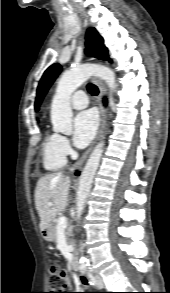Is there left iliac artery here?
Returning a JSON list of instances; mask_svg holds the SVG:
<instances>
[{
    "label": "left iliac artery",
    "instance_id": "obj_1",
    "mask_svg": "<svg viewBox=\"0 0 170 293\" xmlns=\"http://www.w3.org/2000/svg\"><path fill=\"white\" fill-rule=\"evenodd\" d=\"M88 277L90 278L91 285H96L95 277L92 275L91 272L88 273Z\"/></svg>",
    "mask_w": 170,
    "mask_h": 293
}]
</instances>
